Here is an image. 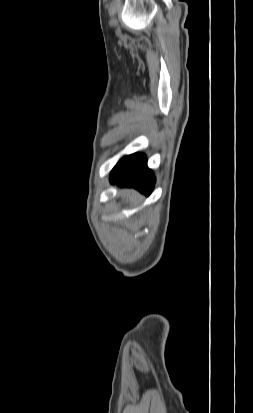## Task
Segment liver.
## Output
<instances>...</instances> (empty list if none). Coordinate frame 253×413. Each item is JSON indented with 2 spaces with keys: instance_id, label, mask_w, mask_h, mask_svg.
Listing matches in <instances>:
<instances>
[{
  "instance_id": "6515ba94",
  "label": "liver",
  "mask_w": 253,
  "mask_h": 413,
  "mask_svg": "<svg viewBox=\"0 0 253 413\" xmlns=\"http://www.w3.org/2000/svg\"><path fill=\"white\" fill-rule=\"evenodd\" d=\"M125 192H126V195L128 196H130V200L133 202V203H136V201H137V199H138V194H137V192L136 191H134V190H124ZM126 195H124V198L126 197Z\"/></svg>"
}]
</instances>
